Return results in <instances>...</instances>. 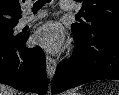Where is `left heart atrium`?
<instances>
[{"label": "left heart atrium", "mask_w": 119, "mask_h": 95, "mask_svg": "<svg viewBox=\"0 0 119 95\" xmlns=\"http://www.w3.org/2000/svg\"><path fill=\"white\" fill-rule=\"evenodd\" d=\"M35 42L50 52H58L65 42V31L58 22H48L35 33Z\"/></svg>", "instance_id": "1"}]
</instances>
